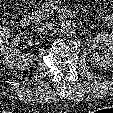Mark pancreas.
<instances>
[{
  "instance_id": "cf45deb5",
  "label": "pancreas",
  "mask_w": 113,
  "mask_h": 113,
  "mask_svg": "<svg viewBox=\"0 0 113 113\" xmlns=\"http://www.w3.org/2000/svg\"><path fill=\"white\" fill-rule=\"evenodd\" d=\"M50 14L51 13L48 9L41 10L38 8L35 12H32V16H33L35 22H40V21L48 18Z\"/></svg>"
}]
</instances>
